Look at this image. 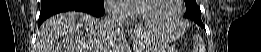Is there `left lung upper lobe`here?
Instances as JSON below:
<instances>
[{
    "label": "left lung upper lobe",
    "mask_w": 261,
    "mask_h": 52,
    "mask_svg": "<svg viewBox=\"0 0 261 52\" xmlns=\"http://www.w3.org/2000/svg\"><path fill=\"white\" fill-rule=\"evenodd\" d=\"M186 3V13L185 18H190L194 20L198 25L201 27L203 26V23L201 21V11L198 7L196 0H185Z\"/></svg>",
    "instance_id": "5c2ea615"
}]
</instances>
